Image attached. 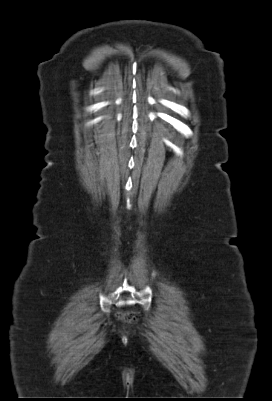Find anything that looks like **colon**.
Here are the masks:
<instances>
[{
	"mask_svg": "<svg viewBox=\"0 0 272 401\" xmlns=\"http://www.w3.org/2000/svg\"><path fill=\"white\" fill-rule=\"evenodd\" d=\"M123 321L131 323L135 320V314L133 312H126L121 315Z\"/></svg>",
	"mask_w": 272,
	"mask_h": 401,
	"instance_id": "1",
	"label": "colon"
}]
</instances>
